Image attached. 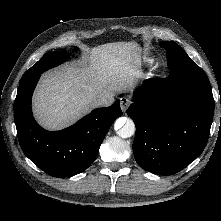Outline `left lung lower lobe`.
I'll return each instance as SVG.
<instances>
[{"label": "left lung lower lobe", "mask_w": 221, "mask_h": 221, "mask_svg": "<svg viewBox=\"0 0 221 221\" xmlns=\"http://www.w3.org/2000/svg\"><path fill=\"white\" fill-rule=\"evenodd\" d=\"M127 109L136 134V162L155 174H175L204 150L213 120L211 85L201 69L171 71L134 92Z\"/></svg>", "instance_id": "obj_1"}]
</instances>
